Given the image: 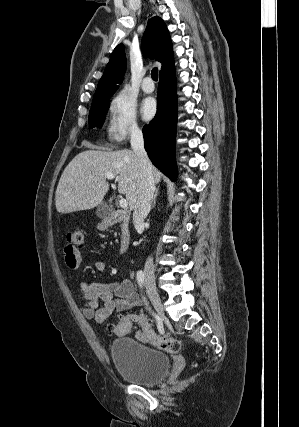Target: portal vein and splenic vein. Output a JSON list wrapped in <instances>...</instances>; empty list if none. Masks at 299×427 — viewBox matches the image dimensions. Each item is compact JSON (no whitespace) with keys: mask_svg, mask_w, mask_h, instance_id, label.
Returning a JSON list of instances; mask_svg holds the SVG:
<instances>
[{"mask_svg":"<svg viewBox=\"0 0 299 427\" xmlns=\"http://www.w3.org/2000/svg\"><path fill=\"white\" fill-rule=\"evenodd\" d=\"M105 176H106V178H107V179H109V180H112V179H114V177H115V175H114V174H112V173H106V174H105ZM119 205H120V207H121V208H127V207H128V202H127V200H126V199L121 198V199L119 200Z\"/></svg>","mask_w":299,"mask_h":427,"instance_id":"18ae733b","label":"portal vein and splenic vein"}]
</instances>
